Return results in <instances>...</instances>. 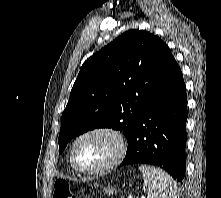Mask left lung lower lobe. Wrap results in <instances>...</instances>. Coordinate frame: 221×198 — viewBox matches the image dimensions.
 Here are the masks:
<instances>
[{
	"label": "left lung lower lobe",
	"instance_id": "obj_1",
	"mask_svg": "<svg viewBox=\"0 0 221 198\" xmlns=\"http://www.w3.org/2000/svg\"><path fill=\"white\" fill-rule=\"evenodd\" d=\"M187 117L186 88L174 59L163 84L144 107L121 165L153 164L181 181L186 168Z\"/></svg>",
	"mask_w": 221,
	"mask_h": 198
}]
</instances>
